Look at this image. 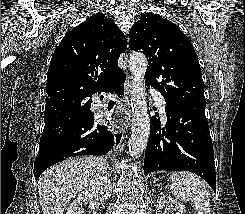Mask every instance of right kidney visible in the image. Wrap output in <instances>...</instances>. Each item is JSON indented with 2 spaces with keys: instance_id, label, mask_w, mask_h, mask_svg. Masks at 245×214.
<instances>
[{
  "instance_id": "right-kidney-1",
  "label": "right kidney",
  "mask_w": 245,
  "mask_h": 214,
  "mask_svg": "<svg viewBox=\"0 0 245 214\" xmlns=\"http://www.w3.org/2000/svg\"><path fill=\"white\" fill-rule=\"evenodd\" d=\"M112 194V184L105 176H98L90 181L89 188H86L71 203L66 214H84V207L92 205L93 198L109 199Z\"/></svg>"
}]
</instances>
